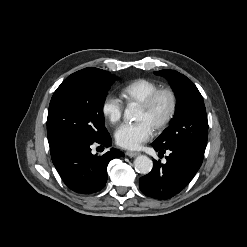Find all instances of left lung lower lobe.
I'll list each match as a JSON object with an SVG mask.
<instances>
[{"mask_svg": "<svg viewBox=\"0 0 247 247\" xmlns=\"http://www.w3.org/2000/svg\"><path fill=\"white\" fill-rule=\"evenodd\" d=\"M152 146L159 153L168 150L170 154L166 156L165 164L153 160L152 171L139 180L140 190L148 197L158 199L173 197L195 176L202 164L204 151L187 144L163 148L153 142Z\"/></svg>", "mask_w": 247, "mask_h": 247, "instance_id": "0a47b994", "label": "left lung lower lobe"}]
</instances>
